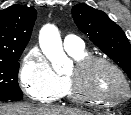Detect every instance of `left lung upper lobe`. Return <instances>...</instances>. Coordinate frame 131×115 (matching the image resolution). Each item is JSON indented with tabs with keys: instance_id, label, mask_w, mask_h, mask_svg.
Wrapping results in <instances>:
<instances>
[{
	"instance_id": "obj_1",
	"label": "left lung upper lobe",
	"mask_w": 131,
	"mask_h": 115,
	"mask_svg": "<svg viewBox=\"0 0 131 115\" xmlns=\"http://www.w3.org/2000/svg\"><path fill=\"white\" fill-rule=\"evenodd\" d=\"M78 28L88 34L90 40L116 62L131 80V46L123 30L103 11L84 3L72 8Z\"/></svg>"
}]
</instances>
